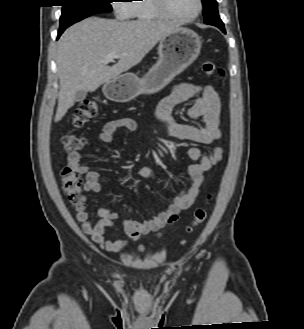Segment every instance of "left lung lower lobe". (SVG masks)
<instances>
[{
	"mask_svg": "<svg viewBox=\"0 0 304 329\" xmlns=\"http://www.w3.org/2000/svg\"><path fill=\"white\" fill-rule=\"evenodd\" d=\"M204 22L206 24L218 27L219 29H221L225 33L224 24H223L222 20L219 17L217 9L211 11L207 15V17L205 18Z\"/></svg>",
	"mask_w": 304,
	"mask_h": 329,
	"instance_id": "left-lung-lower-lobe-1",
	"label": "left lung lower lobe"
}]
</instances>
